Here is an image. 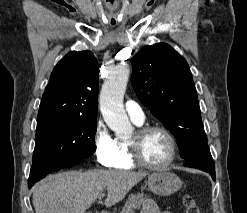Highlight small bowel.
Instances as JSON below:
<instances>
[{"label": "small bowel", "mask_w": 247, "mask_h": 213, "mask_svg": "<svg viewBox=\"0 0 247 213\" xmlns=\"http://www.w3.org/2000/svg\"><path fill=\"white\" fill-rule=\"evenodd\" d=\"M141 213H172L170 211L160 212L157 204L153 200H146L143 203Z\"/></svg>", "instance_id": "1"}]
</instances>
